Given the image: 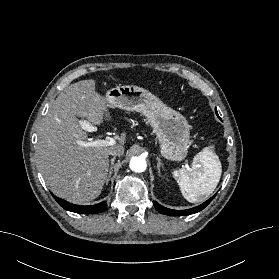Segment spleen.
I'll list each match as a JSON object with an SVG mask.
<instances>
[{
    "label": "spleen",
    "mask_w": 279,
    "mask_h": 279,
    "mask_svg": "<svg viewBox=\"0 0 279 279\" xmlns=\"http://www.w3.org/2000/svg\"><path fill=\"white\" fill-rule=\"evenodd\" d=\"M222 173L221 162L210 146L193 159L189 168L173 173L183 197L191 203L203 201L217 187Z\"/></svg>",
    "instance_id": "spleen-1"
}]
</instances>
